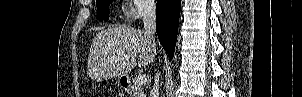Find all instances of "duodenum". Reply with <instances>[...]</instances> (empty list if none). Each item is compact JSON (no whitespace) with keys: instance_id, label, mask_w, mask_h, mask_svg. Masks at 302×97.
<instances>
[{"instance_id":"obj_1","label":"duodenum","mask_w":302,"mask_h":97,"mask_svg":"<svg viewBox=\"0 0 302 97\" xmlns=\"http://www.w3.org/2000/svg\"><path fill=\"white\" fill-rule=\"evenodd\" d=\"M121 83H122V86H124L126 89H129L130 86L126 80H122Z\"/></svg>"}]
</instances>
